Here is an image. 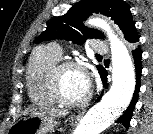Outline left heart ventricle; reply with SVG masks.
<instances>
[{
  "label": "left heart ventricle",
  "instance_id": "b2bd125f",
  "mask_svg": "<svg viewBox=\"0 0 153 134\" xmlns=\"http://www.w3.org/2000/svg\"><path fill=\"white\" fill-rule=\"evenodd\" d=\"M61 91L68 100H81L89 93V80L80 70L66 69L61 75Z\"/></svg>",
  "mask_w": 153,
  "mask_h": 134
}]
</instances>
